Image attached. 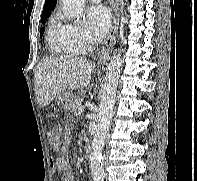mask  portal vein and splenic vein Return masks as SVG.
Wrapping results in <instances>:
<instances>
[{"label": "portal vein and splenic vein", "mask_w": 197, "mask_h": 181, "mask_svg": "<svg viewBox=\"0 0 197 181\" xmlns=\"http://www.w3.org/2000/svg\"><path fill=\"white\" fill-rule=\"evenodd\" d=\"M78 111H79V114L83 113L84 112V107H82V106L79 107Z\"/></svg>", "instance_id": "18ae733b"}]
</instances>
